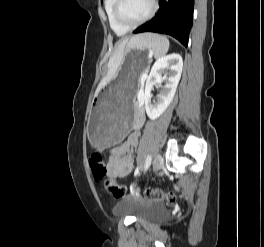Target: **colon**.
<instances>
[{"mask_svg": "<svg viewBox=\"0 0 264 247\" xmlns=\"http://www.w3.org/2000/svg\"><path fill=\"white\" fill-rule=\"evenodd\" d=\"M88 162L92 171L93 179L96 182H103V187L106 193L115 197L122 198L128 194H133L136 196H142L147 200L151 201H163L173 202L175 200V195L173 193H166L161 189L157 188H145L128 190L125 186H120L112 180H106L108 165L104 157L100 153H93L89 156Z\"/></svg>", "mask_w": 264, "mask_h": 247, "instance_id": "1", "label": "colon"}]
</instances>
